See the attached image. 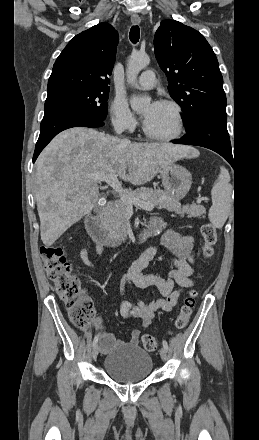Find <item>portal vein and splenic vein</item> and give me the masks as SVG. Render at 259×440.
Listing matches in <instances>:
<instances>
[{
    "label": "portal vein and splenic vein",
    "instance_id": "obj_1",
    "mask_svg": "<svg viewBox=\"0 0 259 440\" xmlns=\"http://www.w3.org/2000/svg\"><path fill=\"white\" fill-rule=\"evenodd\" d=\"M92 178H94L98 181H105L106 183H108L114 189V191L119 194L121 200L123 202H125L128 206L135 205V206H139L140 208L148 210V211L153 210V208L155 207V205L152 202L141 201L139 199L131 197L129 194L124 192L122 185L118 181L116 174H113V173L108 174V175L96 174V175H93Z\"/></svg>",
    "mask_w": 259,
    "mask_h": 440
}]
</instances>
